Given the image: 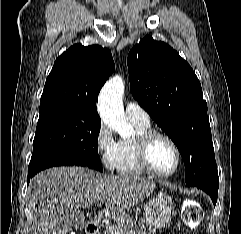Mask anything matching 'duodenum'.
Instances as JSON below:
<instances>
[{"instance_id": "410a0bca", "label": "duodenum", "mask_w": 241, "mask_h": 234, "mask_svg": "<svg viewBox=\"0 0 241 234\" xmlns=\"http://www.w3.org/2000/svg\"><path fill=\"white\" fill-rule=\"evenodd\" d=\"M100 215L95 214L92 219H90L85 226V230L87 234H97L99 225H100Z\"/></svg>"}]
</instances>
